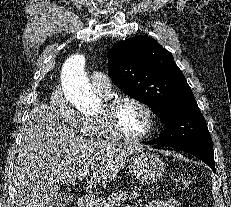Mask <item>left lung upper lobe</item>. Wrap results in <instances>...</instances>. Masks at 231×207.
Instances as JSON below:
<instances>
[{"mask_svg":"<svg viewBox=\"0 0 231 207\" xmlns=\"http://www.w3.org/2000/svg\"><path fill=\"white\" fill-rule=\"evenodd\" d=\"M107 56L115 84L165 122L158 147L213 150L206 120L169 51L150 37L137 36L119 42Z\"/></svg>","mask_w":231,"mask_h":207,"instance_id":"obj_1","label":"left lung upper lobe"}]
</instances>
